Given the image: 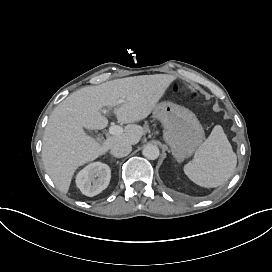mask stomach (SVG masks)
<instances>
[{
    "label": "stomach",
    "instance_id": "1",
    "mask_svg": "<svg viewBox=\"0 0 272 272\" xmlns=\"http://www.w3.org/2000/svg\"><path fill=\"white\" fill-rule=\"evenodd\" d=\"M153 117L162 123L164 140L177 160L191 156L205 139L196 115L183 106L168 101L160 102L154 106Z\"/></svg>",
    "mask_w": 272,
    "mask_h": 272
}]
</instances>
